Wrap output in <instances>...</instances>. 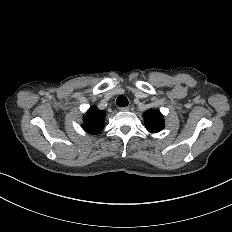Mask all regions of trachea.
Listing matches in <instances>:
<instances>
[{
	"label": "trachea",
	"instance_id": "3493384b",
	"mask_svg": "<svg viewBox=\"0 0 232 232\" xmlns=\"http://www.w3.org/2000/svg\"><path fill=\"white\" fill-rule=\"evenodd\" d=\"M116 104L118 106H127L128 105V99L124 95H120L117 97Z\"/></svg>",
	"mask_w": 232,
	"mask_h": 232
}]
</instances>
